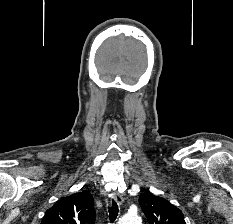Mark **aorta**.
Here are the masks:
<instances>
[{
  "mask_svg": "<svg viewBox=\"0 0 233 224\" xmlns=\"http://www.w3.org/2000/svg\"><path fill=\"white\" fill-rule=\"evenodd\" d=\"M118 224H141V218L136 214H126L119 219Z\"/></svg>",
  "mask_w": 233,
  "mask_h": 224,
  "instance_id": "762f6f07",
  "label": "aorta"
}]
</instances>
